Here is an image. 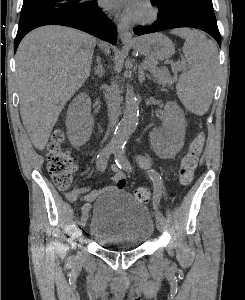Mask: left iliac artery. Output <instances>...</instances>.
<instances>
[{
  "label": "left iliac artery",
  "instance_id": "44dca946",
  "mask_svg": "<svg viewBox=\"0 0 245 300\" xmlns=\"http://www.w3.org/2000/svg\"><path fill=\"white\" fill-rule=\"evenodd\" d=\"M115 155V162L118 165L120 169L128 170L130 171L132 169L130 162L128 161L127 157L125 156L124 152V146H118L115 148L114 151ZM151 179L154 183L155 187V196H154V206L156 209V219H160L162 221H165V217L161 212L157 210L156 204H159L162 201V180L161 177L157 173L151 174Z\"/></svg>",
  "mask_w": 245,
  "mask_h": 300
}]
</instances>
